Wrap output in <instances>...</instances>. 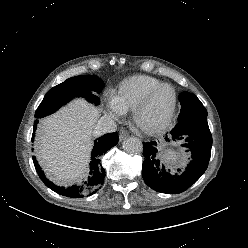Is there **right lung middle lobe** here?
Here are the masks:
<instances>
[{"instance_id": "right-lung-middle-lobe-1", "label": "right lung middle lobe", "mask_w": 248, "mask_h": 248, "mask_svg": "<svg viewBox=\"0 0 248 248\" xmlns=\"http://www.w3.org/2000/svg\"><path fill=\"white\" fill-rule=\"evenodd\" d=\"M104 87L103 81L94 75L72 77L53 87L43 98L35 117L41 118L59 109L74 97H85L89 102L99 103L95 96Z\"/></svg>"}]
</instances>
